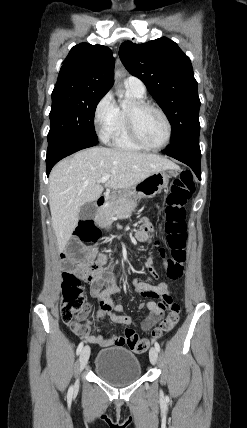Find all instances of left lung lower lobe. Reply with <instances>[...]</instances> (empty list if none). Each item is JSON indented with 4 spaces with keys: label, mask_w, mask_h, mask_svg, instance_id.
Instances as JSON below:
<instances>
[{
    "label": "left lung lower lobe",
    "mask_w": 247,
    "mask_h": 428,
    "mask_svg": "<svg viewBox=\"0 0 247 428\" xmlns=\"http://www.w3.org/2000/svg\"><path fill=\"white\" fill-rule=\"evenodd\" d=\"M162 152L187 164L201 180V151L199 139H192L177 145H170Z\"/></svg>",
    "instance_id": "1"
}]
</instances>
